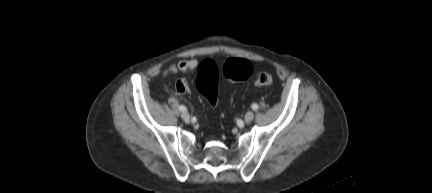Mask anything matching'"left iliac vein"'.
<instances>
[{
  "label": "left iliac vein",
  "mask_w": 432,
  "mask_h": 193,
  "mask_svg": "<svg viewBox=\"0 0 432 193\" xmlns=\"http://www.w3.org/2000/svg\"><path fill=\"white\" fill-rule=\"evenodd\" d=\"M246 122H251L254 119V113L252 111H248L244 117Z\"/></svg>",
  "instance_id": "obj_1"
}]
</instances>
